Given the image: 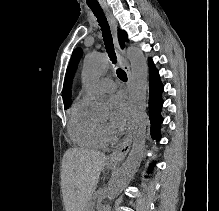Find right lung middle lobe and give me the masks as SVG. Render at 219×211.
<instances>
[{
  "instance_id": "obj_1",
  "label": "right lung middle lobe",
  "mask_w": 219,
  "mask_h": 211,
  "mask_svg": "<svg viewBox=\"0 0 219 211\" xmlns=\"http://www.w3.org/2000/svg\"><path fill=\"white\" fill-rule=\"evenodd\" d=\"M69 106H64L65 109H67Z\"/></svg>"
}]
</instances>
